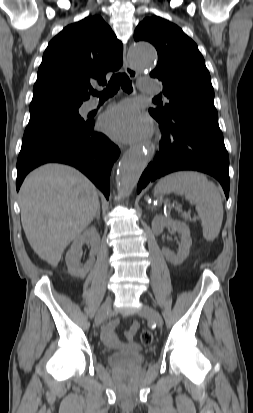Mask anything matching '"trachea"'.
I'll return each instance as SVG.
<instances>
[{"label":"trachea","instance_id":"obj_1","mask_svg":"<svg viewBox=\"0 0 253 413\" xmlns=\"http://www.w3.org/2000/svg\"><path fill=\"white\" fill-rule=\"evenodd\" d=\"M120 87L128 93L132 92L133 90L132 82L125 73L114 74L108 82L106 89H104L102 92H97L93 89H91L89 92L94 96H98L100 99H104L116 94Z\"/></svg>","mask_w":253,"mask_h":413}]
</instances>
